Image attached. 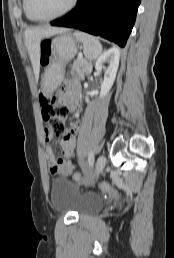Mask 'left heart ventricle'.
I'll return each instance as SVG.
<instances>
[{
    "label": "left heart ventricle",
    "instance_id": "obj_1",
    "mask_svg": "<svg viewBox=\"0 0 174 258\" xmlns=\"http://www.w3.org/2000/svg\"><path fill=\"white\" fill-rule=\"evenodd\" d=\"M71 0H29V8L35 17L45 18L64 10Z\"/></svg>",
    "mask_w": 174,
    "mask_h": 258
}]
</instances>
